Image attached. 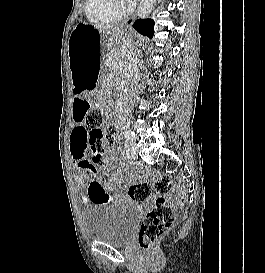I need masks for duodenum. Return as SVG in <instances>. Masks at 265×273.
Wrapping results in <instances>:
<instances>
[{
    "mask_svg": "<svg viewBox=\"0 0 265 273\" xmlns=\"http://www.w3.org/2000/svg\"><path fill=\"white\" fill-rule=\"evenodd\" d=\"M120 117L122 118V112H120Z\"/></svg>",
    "mask_w": 265,
    "mask_h": 273,
    "instance_id": "410a0bca",
    "label": "duodenum"
}]
</instances>
